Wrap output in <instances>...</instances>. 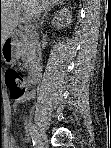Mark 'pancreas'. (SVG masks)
I'll return each instance as SVG.
<instances>
[{"label": "pancreas", "instance_id": "cf45deb5", "mask_svg": "<svg viewBox=\"0 0 111 148\" xmlns=\"http://www.w3.org/2000/svg\"><path fill=\"white\" fill-rule=\"evenodd\" d=\"M25 37H26V34H25ZM26 57H27V54L25 52L22 53V60H25L26 61Z\"/></svg>", "mask_w": 111, "mask_h": 148}]
</instances>
